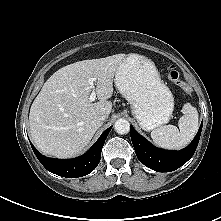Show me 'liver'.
I'll use <instances>...</instances> for the list:
<instances>
[{
    "label": "liver",
    "mask_w": 221,
    "mask_h": 221,
    "mask_svg": "<svg viewBox=\"0 0 221 221\" xmlns=\"http://www.w3.org/2000/svg\"><path fill=\"white\" fill-rule=\"evenodd\" d=\"M125 54L83 60L56 71L33 101L29 126L33 142L45 155L70 158L78 155L109 116L113 78ZM89 78H95L98 102H90Z\"/></svg>",
    "instance_id": "6515ba94"
}]
</instances>
